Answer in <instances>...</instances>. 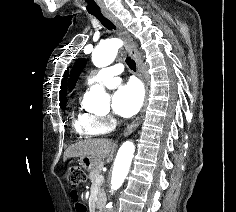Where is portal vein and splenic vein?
I'll list each match as a JSON object with an SVG mask.
<instances>
[{
  "label": "portal vein and splenic vein",
  "instance_id": "1",
  "mask_svg": "<svg viewBox=\"0 0 236 212\" xmlns=\"http://www.w3.org/2000/svg\"><path fill=\"white\" fill-rule=\"evenodd\" d=\"M103 180H104V177L102 175H99L96 182L100 183V182H103Z\"/></svg>",
  "mask_w": 236,
  "mask_h": 212
}]
</instances>
